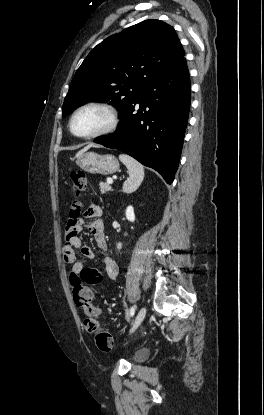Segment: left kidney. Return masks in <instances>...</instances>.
<instances>
[{
  "label": "left kidney",
  "mask_w": 264,
  "mask_h": 415,
  "mask_svg": "<svg viewBox=\"0 0 264 415\" xmlns=\"http://www.w3.org/2000/svg\"><path fill=\"white\" fill-rule=\"evenodd\" d=\"M126 218L127 220L134 222L135 221V214H134V208L132 206H128L126 208ZM122 247L121 243L117 244V248L120 249Z\"/></svg>",
  "instance_id": "obj_1"
}]
</instances>
